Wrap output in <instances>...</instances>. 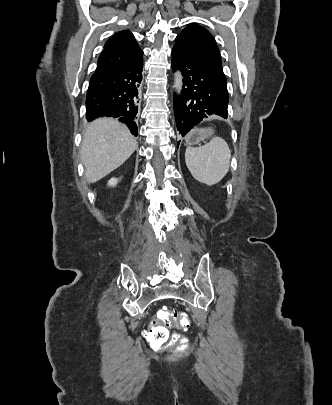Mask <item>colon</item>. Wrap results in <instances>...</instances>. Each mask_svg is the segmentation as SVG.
I'll return each mask as SVG.
<instances>
[{"instance_id":"obj_1","label":"colon","mask_w":332,"mask_h":405,"mask_svg":"<svg viewBox=\"0 0 332 405\" xmlns=\"http://www.w3.org/2000/svg\"><path fill=\"white\" fill-rule=\"evenodd\" d=\"M151 320L153 324L148 332V338L152 344L161 347L168 341L170 343H182L186 340L178 333L170 335L167 328L161 324L175 323L177 327L186 330L194 319L192 315H187L181 311L163 309L158 312V315H153Z\"/></svg>"}]
</instances>
